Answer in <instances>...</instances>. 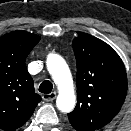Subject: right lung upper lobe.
I'll list each match as a JSON object with an SVG mask.
<instances>
[{"mask_svg": "<svg viewBox=\"0 0 131 131\" xmlns=\"http://www.w3.org/2000/svg\"><path fill=\"white\" fill-rule=\"evenodd\" d=\"M40 39L20 30L0 37V128L3 130L21 127L41 101L25 64Z\"/></svg>", "mask_w": 131, "mask_h": 131, "instance_id": "cb5924a9", "label": "right lung upper lobe"}]
</instances>
